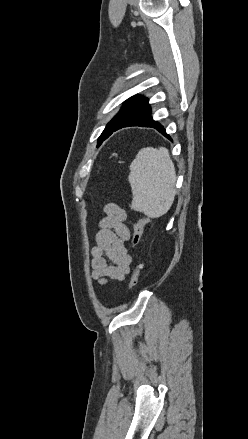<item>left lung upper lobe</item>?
Masks as SVG:
<instances>
[{
    "label": "left lung upper lobe",
    "mask_w": 248,
    "mask_h": 439,
    "mask_svg": "<svg viewBox=\"0 0 248 439\" xmlns=\"http://www.w3.org/2000/svg\"><path fill=\"white\" fill-rule=\"evenodd\" d=\"M144 99L143 96H133L129 98L122 109L119 111L118 114H116L113 119L106 125L104 131L98 138V145L104 141L108 135V133L123 119L125 118L129 113H131Z\"/></svg>",
    "instance_id": "1"
}]
</instances>
